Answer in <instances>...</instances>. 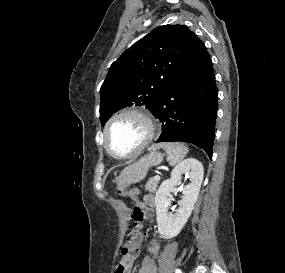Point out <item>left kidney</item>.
Segmentation results:
<instances>
[{
  "instance_id": "obj_1",
  "label": "left kidney",
  "mask_w": 285,
  "mask_h": 273,
  "mask_svg": "<svg viewBox=\"0 0 285 273\" xmlns=\"http://www.w3.org/2000/svg\"><path fill=\"white\" fill-rule=\"evenodd\" d=\"M184 174L189 176L190 183L184 187L180 207L173 215L168 211L171 203V192L175 190L177 185L181 184ZM203 174L202 163L194 158H188L180 162L172 170L170 179L164 181L159 187L155 196V205L158 232L163 238H173L183 229L197 201Z\"/></svg>"
}]
</instances>
